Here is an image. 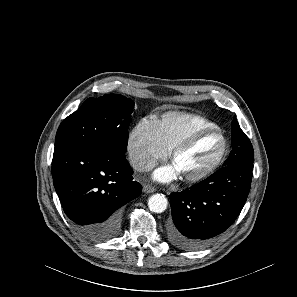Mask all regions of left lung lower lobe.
I'll return each instance as SVG.
<instances>
[{
  "label": "left lung lower lobe",
  "mask_w": 297,
  "mask_h": 297,
  "mask_svg": "<svg viewBox=\"0 0 297 297\" xmlns=\"http://www.w3.org/2000/svg\"><path fill=\"white\" fill-rule=\"evenodd\" d=\"M253 165L227 166L200 183L170 194L169 242L183 250L208 246L228 229L247 200Z\"/></svg>",
  "instance_id": "obj_1"
}]
</instances>
